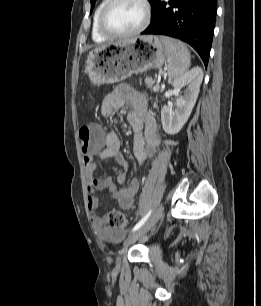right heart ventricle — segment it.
<instances>
[{
	"label": "right heart ventricle",
	"instance_id": "obj_1",
	"mask_svg": "<svg viewBox=\"0 0 261 306\" xmlns=\"http://www.w3.org/2000/svg\"><path fill=\"white\" fill-rule=\"evenodd\" d=\"M106 3H107V0H101L94 11L91 34H92V39L95 42H103L109 38L100 31L99 25H98L100 12Z\"/></svg>",
	"mask_w": 261,
	"mask_h": 306
}]
</instances>
